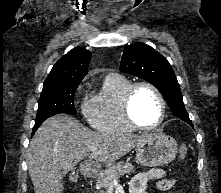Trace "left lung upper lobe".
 <instances>
[{
  "label": "left lung upper lobe",
  "mask_w": 221,
  "mask_h": 193,
  "mask_svg": "<svg viewBox=\"0 0 221 193\" xmlns=\"http://www.w3.org/2000/svg\"><path fill=\"white\" fill-rule=\"evenodd\" d=\"M120 71L154 85L162 93L172 113L192 125L176 75L167 59L159 52L144 43L129 45L123 51Z\"/></svg>",
  "instance_id": "1"
}]
</instances>
